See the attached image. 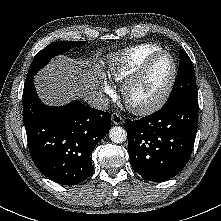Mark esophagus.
Returning <instances> with one entry per match:
<instances>
[{
  "instance_id": "esophagus-1",
  "label": "esophagus",
  "mask_w": 221,
  "mask_h": 221,
  "mask_svg": "<svg viewBox=\"0 0 221 221\" xmlns=\"http://www.w3.org/2000/svg\"><path fill=\"white\" fill-rule=\"evenodd\" d=\"M111 119L115 125H120L124 122L123 118L118 113H115V112L112 113Z\"/></svg>"
}]
</instances>
